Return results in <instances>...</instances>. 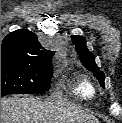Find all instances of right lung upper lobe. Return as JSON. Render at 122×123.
<instances>
[{
	"label": "right lung upper lobe",
	"instance_id": "1",
	"mask_svg": "<svg viewBox=\"0 0 122 123\" xmlns=\"http://www.w3.org/2000/svg\"><path fill=\"white\" fill-rule=\"evenodd\" d=\"M53 54L41 46L36 34L26 29L8 34L1 45V58L51 62Z\"/></svg>",
	"mask_w": 122,
	"mask_h": 123
}]
</instances>
